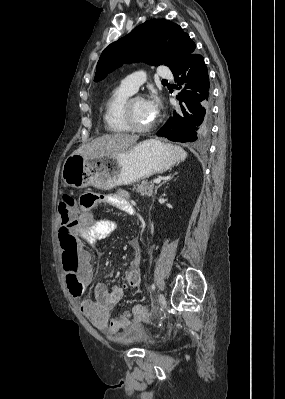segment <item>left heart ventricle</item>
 Masks as SVG:
<instances>
[{
	"label": "left heart ventricle",
	"instance_id": "left-heart-ventricle-1",
	"mask_svg": "<svg viewBox=\"0 0 285 399\" xmlns=\"http://www.w3.org/2000/svg\"><path fill=\"white\" fill-rule=\"evenodd\" d=\"M133 119L136 125L146 126L153 122L148 114L143 100H135L132 104Z\"/></svg>",
	"mask_w": 285,
	"mask_h": 399
}]
</instances>
